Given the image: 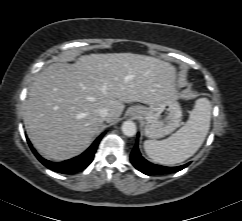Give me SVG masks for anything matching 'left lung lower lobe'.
Returning <instances> with one entry per match:
<instances>
[{"instance_id": "obj_1", "label": "left lung lower lobe", "mask_w": 242, "mask_h": 221, "mask_svg": "<svg viewBox=\"0 0 242 221\" xmlns=\"http://www.w3.org/2000/svg\"><path fill=\"white\" fill-rule=\"evenodd\" d=\"M130 160L136 169L146 175L169 174L173 172H178L188 166V164H185L178 167H165L152 164L141 156L138 149V143L135 145L134 149L131 152Z\"/></svg>"}]
</instances>
